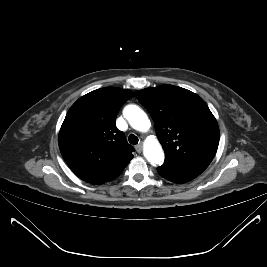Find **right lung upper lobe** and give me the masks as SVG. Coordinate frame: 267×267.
Wrapping results in <instances>:
<instances>
[{
    "instance_id": "obj_1",
    "label": "right lung upper lobe",
    "mask_w": 267,
    "mask_h": 267,
    "mask_svg": "<svg viewBox=\"0 0 267 267\" xmlns=\"http://www.w3.org/2000/svg\"><path fill=\"white\" fill-rule=\"evenodd\" d=\"M133 96L128 89L101 88L69 109L59 132V148L82 180L96 185L111 181L133 158L134 148L115 125L120 107Z\"/></svg>"
}]
</instances>
